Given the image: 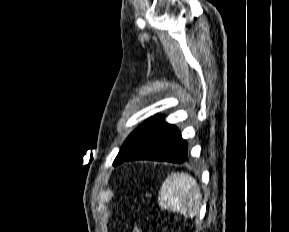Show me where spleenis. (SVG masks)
Masks as SVG:
<instances>
[{
  "label": "spleen",
  "mask_w": 289,
  "mask_h": 232,
  "mask_svg": "<svg viewBox=\"0 0 289 232\" xmlns=\"http://www.w3.org/2000/svg\"><path fill=\"white\" fill-rule=\"evenodd\" d=\"M201 197L200 188L191 175L175 172L165 179L158 200L162 209L192 218L199 212Z\"/></svg>",
  "instance_id": "3e777b00"
}]
</instances>
